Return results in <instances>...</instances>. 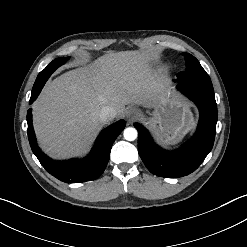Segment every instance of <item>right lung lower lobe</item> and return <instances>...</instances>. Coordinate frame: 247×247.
I'll return each instance as SVG.
<instances>
[{
	"instance_id": "right-lung-lower-lobe-1",
	"label": "right lung lower lobe",
	"mask_w": 247,
	"mask_h": 247,
	"mask_svg": "<svg viewBox=\"0 0 247 247\" xmlns=\"http://www.w3.org/2000/svg\"><path fill=\"white\" fill-rule=\"evenodd\" d=\"M42 88L43 86L32 89L29 104L35 101ZM27 123L28 139L33 153L48 173L66 183L87 182L99 178L109 161L113 142L125 128V122L121 120L104 129L99 135L91 154L86 159L57 162L42 153L36 143L31 109L27 112Z\"/></svg>"
}]
</instances>
